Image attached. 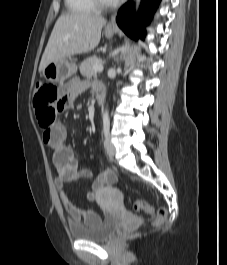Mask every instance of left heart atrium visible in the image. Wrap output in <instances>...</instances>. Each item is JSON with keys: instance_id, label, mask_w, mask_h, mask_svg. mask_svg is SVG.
Wrapping results in <instances>:
<instances>
[{"instance_id": "1", "label": "left heart atrium", "mask_w": 227, "mask_h": 265, "mask_svg": "<svg viewBox=\"0 0 227 265\" xmlns=\"http://www.w3.org/2000/svg\"><path fill=\"white\" fill-rule=\"evenodd\" d=\"M109 1H111V2H117V1H119V0H109Z\"/></svg>"}]
</instances>
